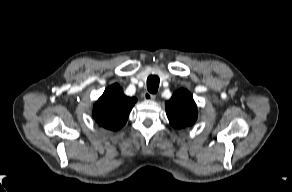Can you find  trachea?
Listing matches in <instances>:
<instances>
[{"label":"trachea","mask_w":292,"mask_h":192,"mask_svg":"<svg viewBox=\"0 0 292 192\" xmlns=\"http://www.w3.org/2000/svg\"><path fill=\"white\" fill-rule=\"evenodd\" d=\"M159 77L156 75H150L147 79V89L150 93H156L159 87Z\"/></svg>","instance_id":"1"}]
</instances>
